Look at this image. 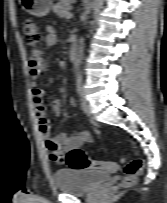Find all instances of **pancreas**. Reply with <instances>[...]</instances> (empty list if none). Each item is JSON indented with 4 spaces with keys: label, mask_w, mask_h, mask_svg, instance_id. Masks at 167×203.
Returning a JSON list of instances; mask_svg holds the SVG:
<instances>
[{
    "label": "pancreas",
    "mask_w": 167,
    "mask_h": 203,
    "mask_svg": "<svg viewBox=\"0 0 167 203\" xmlns=\"http://www.w3.org/2000/svg\"><path fill=\"white\" fill-rule=\"evenodd\" d=\"M75 0H61L59 3L53 6V11L59 17H66V13L72 8L71 4Z\"/></svg>",
    "instance_id": "obj_1"
}]
</instances>
